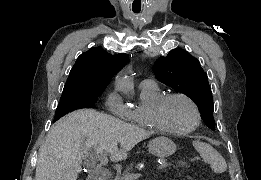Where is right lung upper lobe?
<instances>
[{"label": "right lung upper lobe", "mask_w": 261, "mask_h": 180, "mask_svg": "<svg viewBox=\"0 0 261 180\" xmlns=\"http://www.w3.org/2000/svg\"><path fill=\"white\" fill-rule=\"evenodd\" d=\"M127 54L111 55L100 47L81 54L72 67L64 89L103 90L128 61Z\"/></svg>", "instance_id": "obj_1"}]
</instances>
